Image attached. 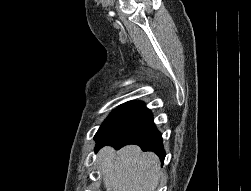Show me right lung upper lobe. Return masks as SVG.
Here are the masks:
<instances>
[{"label":"right lung upper lobe","mask_w":251,"mask_h":191,"mask_svg":"<svg viewBox=\"0 0 251 191\" xmlns=\"http://www.w3.org/2000/svg\"><path fill=\"white\" fill-rule=\"evenodd\" d=\"M119 107L129 108V109H138V110H143V111L147 110L144 103L137 102V101H129L120 105Z\"/></svg>","instance_id":"1"}]
</instances>
